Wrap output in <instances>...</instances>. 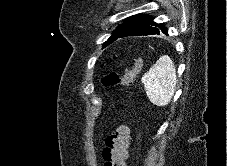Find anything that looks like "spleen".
Listing matches in <instances>:
<instances>
[{"label":"spleen","instance_id":"3e777b00","mask_svg":"<svg viewBox=\"0 0 227 166\" xmlns=\"http://www.w3.org/2000/svg\"><path fill=\"white\" fill-rule=\"evenodd\" d=\"M146 94L154 105L166 106L170 103L177 84L174 62L168 55L161 56L142 76Z\"/></svg>","mask_w":227,"mask_h":166}]
</instances>
